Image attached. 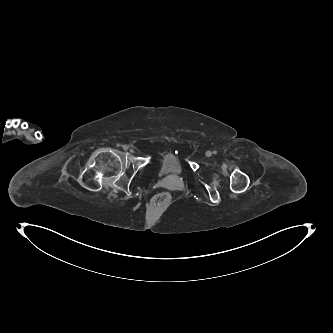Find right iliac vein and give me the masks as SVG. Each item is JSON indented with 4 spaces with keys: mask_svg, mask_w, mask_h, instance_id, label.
<instances>
[{
    "mask_svg": "<svg viewBox=\"0 0 333 333\" xmlns=\"http://www.w3.org/2000/svg\"><path fill=\"white\" fill-rule=\"evenodd\" d=\"M130 151H131L132 153H134V150H133V149H131Z\"/></svg>",
    "mask_w": 333,
    "mask_h": 333,
    "instance_id": "1",
    "label": "right iliac vein"
}]
</instances>
